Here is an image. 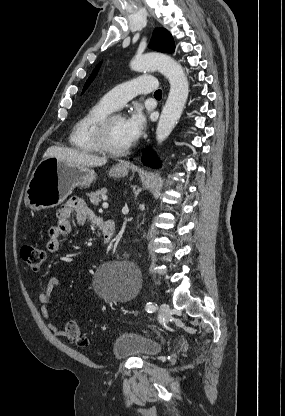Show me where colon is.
I'll return each mask as SVG.
<instances>
[{"label": "colon", "mask_w": 285, "mask_h": 416, "mask_svg": "<svg viewBox=\"0 0 285 416\" xmlns=\"http://www.w3.org/2000/svg\"><path fill=\"white\" fill-rule=\"evenodd\" d=\"M20 256L27 267L34 272L39 271L45 261L44 250L31 243H26L21 247ZM65 336L70 343L78 347H88V341L75 321L67 322Z\"/></svg>", "instance_id": "obj_1"}]
</instances>
